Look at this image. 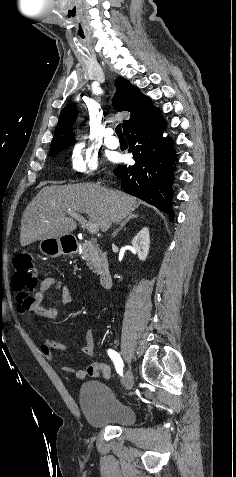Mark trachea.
<instances>
[{
	"label": "trachea",
	"mask_w": 236,
	"mask_h": 477,
	"mask_svg": "<svg viewBox=\"0 0 236 477\" xmlns=\"http://www.w3.org/2000/svg\"><path fill=\"white\" fill-rule=\"evenodd\" d=\"M115 132H116V134H117V136H118L119 138H125L124 135H123V133H122L121 124H118V125L116 126Z\"/></svg>",
	"instance_id": "1"
}]
</instances>
